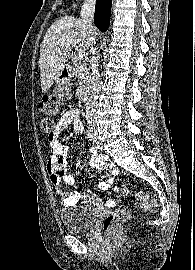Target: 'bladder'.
<instances>
[{
  "label": "bladder",
  "mask_w": 195,
  "mask_h": 270,
  "mask_svg": "<svg viewBox=\"0 0 195 270\" xmlns=\"http://www.w3.org/2000/svg\"><path fill=\"white\" fill-rule=\"evenodd\" d=\"M97 215L98 208L89 206L63 208L60 211L63 228L74 235H88L91 233Z\"/></svg>",
  "instance_id": "1"
}]
</instances>
